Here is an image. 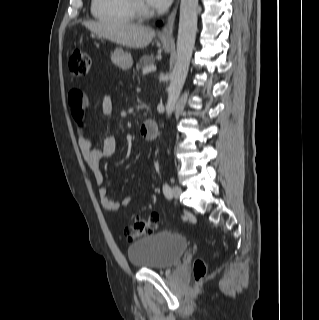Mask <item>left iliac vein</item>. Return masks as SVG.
<instances>
[{
  "label": "left iliac vein",
  "instance_id": "obj_1",
  "mask_svg": "<svg viewBox=\"0 0 319 320\" xmlns=\"http://www.w3.org/2000/svg\"><path fill=\"white\" fill-rule=\"evenodd\" d=\"M182 194V189L179 186H174L172 189V195L175 198H179Z\"/></svg>",
  "mask_w": 319,
  "mask_h": 320
}]
</instances>
